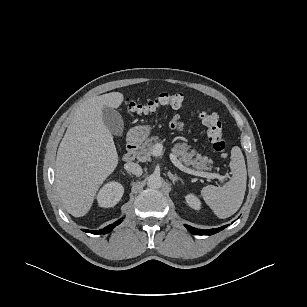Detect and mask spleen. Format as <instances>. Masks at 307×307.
Here are the masks:
<instances>
[{"mask_svg": "<svg viewBox=\"0 0 307 307\" xmlns=\"http://www.w3.org/2000/svg\"><path fill=\"white\" fill-rule=\"evenodd\" d=\"M230 169L232 177L222 187L208 185L203 187L201 195L206 204L219 218H227L240 208L247 183V171L243 153L238 146L231 149Z\"/></svg>", "mask_w": 307, "mask_h": 307, "instance_id": "spleen-1", "label": "spleen"}]
</instances>
